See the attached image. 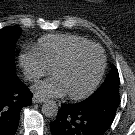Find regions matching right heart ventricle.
<instances>
[{
    "instance_id": "obj_1",
    "label": "right heart ventricle",
    "mask_w": 135,
    "mask_h": 135,
    "mask_svg": "<svg viewBox=\"0 0 135 135\" xmlns=\"http://www.w3.org/2000/svg\"><path fill=\"white\" fill-rule=\"evenodd\" d=\"M91 44L83 37L69 34H50L41 37L35 47L46 65L51 68L73 49Z\"/></svg>"
}]
</instances>
